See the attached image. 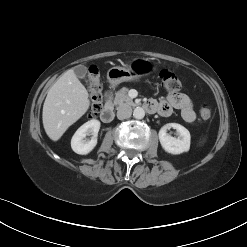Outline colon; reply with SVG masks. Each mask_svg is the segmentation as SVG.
<instances>
[{"label":"colon","mask_w":247,"mask_h":247,"mask_svg":"<svg viewBox=\"0 0 247 247\" xmlns=\"http://www.w3.org/2000/svg\"><path fill=\"white\" fill-rule=\"evenodd\" d=\"M159 79L162 87L170 92H178L182 90L183 83L179 77L172 71L164 69L159 74ZM88 87L90 93L91 107L90 114L96 115L102 107V89L99 82V74L96 68H92L88 75ZM200 116L204 120L210 119L212 112L207 105H202L199 110Z\"/></svg>","instance_id":"colon-1"}]
</instances>
